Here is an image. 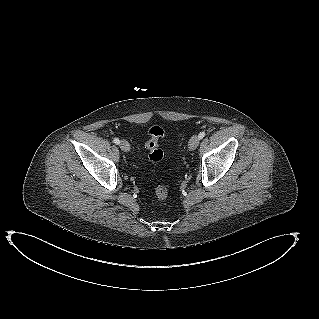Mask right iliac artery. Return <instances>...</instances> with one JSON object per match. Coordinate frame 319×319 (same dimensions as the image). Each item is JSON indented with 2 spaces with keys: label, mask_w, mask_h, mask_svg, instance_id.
<instances>
[{
  "label": "right iliac artery",
  "mask_w": 319,
  "mask_h": 319,
  "mask_svg": "<svg viewBox=\"0 0 319 319\" xmlns=\"http://www.w3.org/2000/svg\"><path fill=\"white\" fill-rule=\"evenodd\" d=\"M113 142H114L115 144H117V145L120 144V140H119L118 138H114V139H113Z\"/></svg>",
  "instance_id": "82829eb1"
}]
</instances>
